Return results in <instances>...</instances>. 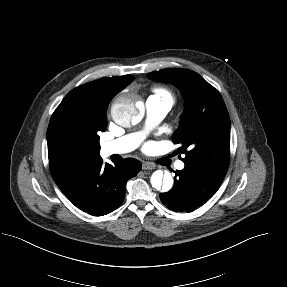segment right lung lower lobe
Returning a JSON list of instances; mask_svg holds the SVG:
<instances>
[{"label":"right lung lower lobe","mask_w":287,"mask_h":287,"mask_svg":"<svg viewBox=\"0 0 287 287\" xmlns=\"http://www.w3.org/2000/svg\"><path fill=\"white\" fill-rule=\"evenodd\" d=\"M103 164L97 159L80 176L66 197L79 209L93 216L106 215L117 209L125 198L126 182L141 170L140 161L127 158Z\"/></svg>","instance_id":"obj_1"}]
</instances>
